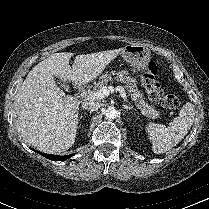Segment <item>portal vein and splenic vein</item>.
<instances>
[{"label": "portal vein and splenic vein", "mask_w": 209, "mask_h": 209, "mask_svg": "<svg viewBox=\"0 0 209 209\" xmlns=\"http://www.w3.org/2000/svg\"><path fill=\"white\" fill-rule=\"evenodd\" d=\"M119 92L121 97L123 98L124 101H127V95H126V92L124 90L123 87L121 86H117V87H112V86H103L99 91H97L94 95H90L88 96V99H91V100H99V99H102L106 96H108L110 93L112 92Z\"/></svg>", "instance_id": "portal-vein-and-splenic-vein-1"}]
</instances>
